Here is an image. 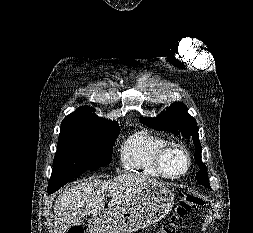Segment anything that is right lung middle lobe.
Masks as SVG:
<instances>
[{
  "instance_id": "1",
  "label": "right lung middle lobe",
  "mask_w": 253,
  "mask_h": 233,
  "mask_svg": "<svg viewBox=\"0 0 253 233\" xmlns=\"http://www.w3.org/2000/svg\"><path fill=\"white\" fill-rule=\"evenodd\" d=\"M119 132L120 127L114 121L67 116L61 124L50 180L74 171L108 165Z\"/></svg>"
}]
</instances>
